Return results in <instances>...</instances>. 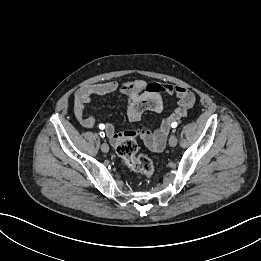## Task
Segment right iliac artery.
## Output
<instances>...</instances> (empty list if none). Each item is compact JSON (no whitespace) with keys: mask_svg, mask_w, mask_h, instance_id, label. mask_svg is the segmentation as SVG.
Here are the masks:
<instances>
[{"mask_svg":"<svg viewBox=\"0 0 261 261\" xmlns=\"http://www.w3.org/2000/svg\"><path fill=\"white\" fill-rule=\"evenodd\" d=\"M99 128H100V129H103V128H104V125H103V124H100V125H99ZM100 137L104 138V137H105V133H104V132H100Z\"/></svg>","mask_w":261,"mask_h":261,"instance_id":"right-iliac-artery-1","label":"right iliac artery"}]
</instances>
